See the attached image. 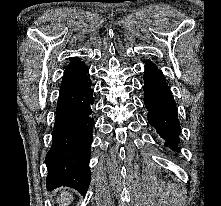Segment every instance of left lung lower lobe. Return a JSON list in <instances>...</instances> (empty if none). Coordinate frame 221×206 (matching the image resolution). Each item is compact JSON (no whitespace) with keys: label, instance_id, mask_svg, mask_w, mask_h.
Instances as JSON below:
<instances>
[{"label":"left lung lower lobe","instance_id":"1","mask_svg":"<svg viewBox=\"0 0 221 206\" xmlns=\"http://www.w3.org/2000/svg\"><path fill=\"white\" fill-rule=\"evenodd\" d=\"M144 103L148 122L173 151L179 143L180 123L177 108L165 78L157 68H145Z\"/></svg>","mask_w":221,"mask_h":206}]
</instances>
